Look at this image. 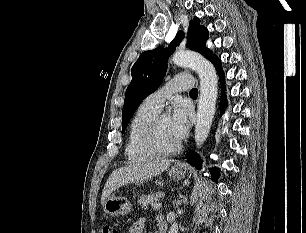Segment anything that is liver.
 <instances>
[{"mask_svg": "<svg viewBox=\"0 0 306 233\" xmlns=\"http://www.w3.org/2000/svg\"><path fill=\"white\" fill-rule=\"evenodd\" d=\"M170 160H157L155 162H139L129 164L111 173L104 186L101 203L103 205L107 197L123 185L149 180L164 172L170 165Z\"/></svg>", "mask_w": 306, "mask_h": 233, "instance_id": "liver-1", "label": "liver"}]
</instances>
